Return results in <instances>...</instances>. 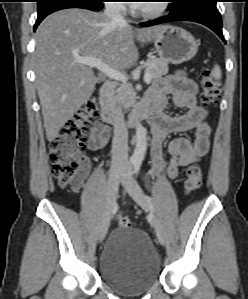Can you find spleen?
I'll list each match as a JSON object with an SVG mask.
<instances>
[{"label":"spleen","mask_w":248,"mask_h":299,"mask_svg":"<svg viewBox=\"0 0 248 299\" xmlns=\"http://www.w3.org/2000/svg\"><path fill=\"white\" fill-rule=\"evenodd\" d=\"M212 75L216 80H220L221 78V69L218 65H215L212 71Z\"/></svg>","instance_id":"3e777b00"}]
</instances>
